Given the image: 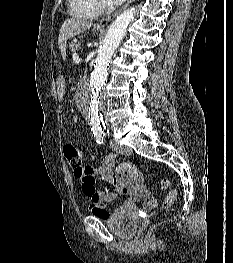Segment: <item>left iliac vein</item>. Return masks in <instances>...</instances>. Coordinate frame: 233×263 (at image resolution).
<instances>
[{"label": "left iliac vein", "mask_w": 233, "mask_h": 263, "mask_svg": "<svg viewBox=\"0 0 233 263\" xmlns=\"http://www.w3.org/2000/svg\"><path fill=\"white\" fill-rule=\"evenodd\" d=\"M112 146L114 147L116 151H118L120 154L125 155V156H129L133 152L132 149L128 146L119 145L117 143L112 144Z\"/></svg>", "instance_id": "4c4485c4"}]
</instances>
